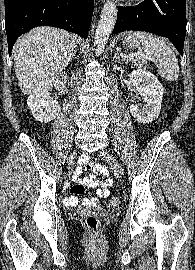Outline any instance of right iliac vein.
<instances>
[{"label":"right iliac vein","instance_id":"1","mask_svg":"<svg viewBox=\"0 0 195 270\" xmlns=\"http://www.w3.org/2000/svg\"><path fill=\"white\" fill-rule=\"evenodd\" d=\"M74 165H75V156H72L70 160V168H72Z\"/></svg>","mask_w":195,"mask_h":270}]
</instances>
